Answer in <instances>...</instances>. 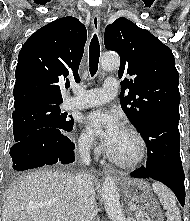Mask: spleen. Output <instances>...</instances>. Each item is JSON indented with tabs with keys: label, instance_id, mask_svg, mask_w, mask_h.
<instances>
[{
	"label": "spleen",
	"instance_id": "3e777b00",
	"mask_svg": "<svg viewBox=\"0 0 190 221\" xmlns=\"http://www.w3.org/2000/svg\"><path fill=\"white\" fill-rule=\"evenodd\" d=\"M152 188L158 196L163 208L167 210V221H181L180 210L176 205V197L173 192L159 182H154Z\"/></svg>",
	"mask_w": 190,
	"mask_h": 221
}]
</instances>
